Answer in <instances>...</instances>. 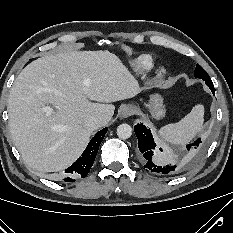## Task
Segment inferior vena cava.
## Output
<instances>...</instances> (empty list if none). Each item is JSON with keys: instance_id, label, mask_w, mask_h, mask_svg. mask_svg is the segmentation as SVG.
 Wrapping results in <instances>:
<instances>
[{"instance_id": "inferior-vena-cava-1", "label": "inferior vena cava", "mask_w": 233, "mask_h": 233, "mask_svg": "<svg viewBox=\"0 0 233 233\" xmlns=\"http://www.w3.org/2000/svg\"><path fill=\"white\" fill-rule=\"evenodd\" d=\"M104 124V119L98 115H90L84 121V126L92 131L100 128Z\"/></svg>"}]
</instances>
